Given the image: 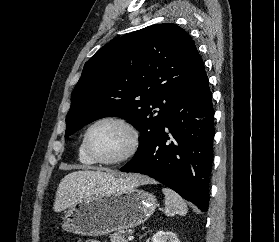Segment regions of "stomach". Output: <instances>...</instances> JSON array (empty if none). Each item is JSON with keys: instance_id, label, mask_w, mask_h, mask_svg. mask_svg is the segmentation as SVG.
<instances>
[{"instance_id": "stomach-1", "label": "stomach", "mask_w": 279, "mask_h": 242, "mask_svg": "<svg viewBox=\"0 0 279 242\" xmlns=\"http://www.w3.org/2000/svg\"><path fill=\"white\" fill-rule=\"evenodd\" d=\"M156 205L152 193L135 187L91 195L69 207L61 227L79 235L102 236L141 225Z\"/></svg>"}]
</instances>
